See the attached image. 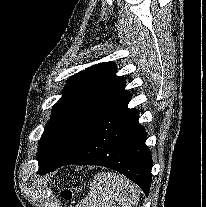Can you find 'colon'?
Instances as JSON below:
<instances>
[{"mask_svg": "<svg viewBox=\"0 0 206 207\" xmlns=\"http://www.w3.org/2000/svg\"><path fill=\"white\" fill-rule=\"evenodd\" d=\"M62 197L65 199V200H69L71 197H72V191L67 189V190H64L62 192Z\"/></svg>", "mask_w": 206, "mask_h": 207, "instance_id": "obj_1", "label": "colon"}]
</instances>
